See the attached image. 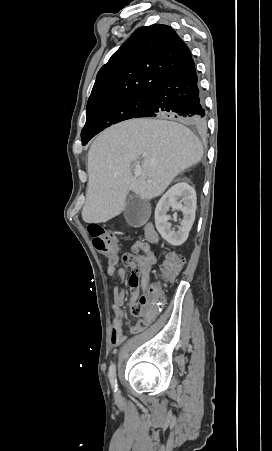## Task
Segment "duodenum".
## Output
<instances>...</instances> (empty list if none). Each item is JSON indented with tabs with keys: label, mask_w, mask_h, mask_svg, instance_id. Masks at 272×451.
Returning a JSON list of instances; mask_svg holds the SVG:
<instances>
[{
	"label": "duodenum",
	"mask_w": 272,
	"mask_h": 451,
	"mask_svg": "<svg viewBox=\"0 0 272 451\" xmlns=\"http://www.w3.org/2000/svg\"><path fill=\"white\" fill-rule=\"evenodd\" d=\"M146 235H147L148 240L151 242H155L157 239L156 232L154 231V229L152 227H147Z\"/></svg>",
	"instance_id": "1"
}]
</instances>
